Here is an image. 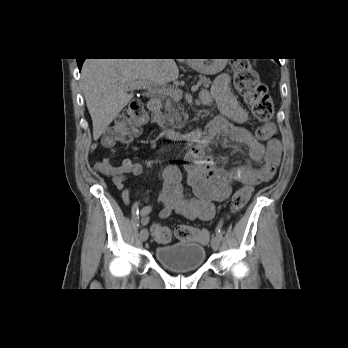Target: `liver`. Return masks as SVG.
<instances>
[{"label": "liver", "instance_id": "liver-1", "mask_svg": "<svg viewBox=\"0 0 348 348\" xmlns=\"http://www.w3.org/2000/svg\"><path fill=\"white\" fill-rule=\"evenodd\" d=\"M179 69L174 59H86L81 84L96 141L133 98L130 83L145 80L166 85Z\"/></svg>", "mask_w": 348, "mask_h": 348}]
</instances>
